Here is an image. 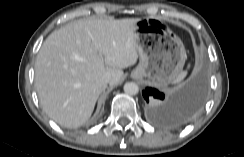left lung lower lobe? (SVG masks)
I'll list each match as a JSON object with an SVG mask.
<instances>
[{
	"label": "left lung lower lobe",
	"instance_id": "left-lung-lower-lobe-1",
	"mask_svg": "<svg viewBox=\"0 0 244 157\" xmlns=\"http://www.w3.org/2000/svg\"><path fill=\"white\" fill-rule=\"evenodd\" d=\"M143 97L151 105L153 117L161 124L183 125L202 107L206 95V76L203 72L188 81L171 99L155 88H146Z\"/></svg>",
	"mask_w": 244,
	"mask_h": 157
}]
</instances>
